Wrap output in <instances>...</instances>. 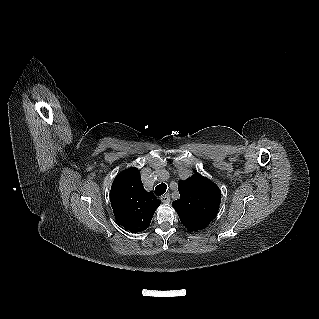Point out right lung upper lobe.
Instances as JSON below:
<instances>
[{
  "mask_svg": "<svg viewBox=\"0 0 319 319\" xmlns=\"http://www.w3.org/2000/svg\"><path fill=\"white\" fill-rule=\"evenodd\" d=\"M110 202L117 222L132 233L144 231L150 225L160 201L145 191L137 168L119 173L113 181Z\"/></svg>",
  "mask_w": 319,
  "mask_h": 319,
  "instance_id": "obj_1",
  "label": "right lung upper lobe"
}]
</instances>
